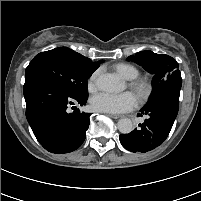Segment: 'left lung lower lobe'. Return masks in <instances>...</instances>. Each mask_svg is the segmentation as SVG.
<instances>
[{
    "instance_id": "0a47b994",
    "label": "left lung lower lobe",
    "mask_w": 201,
    "mask_h": 201,
    "mask_svg": "<svg viewBox=\"0 0 201 201\" xmlns=\"http://www.w3.org/2000/svg\"><path fill=\"white\" fill-rule=\"evenodd\" d=\"M179 109V95L167 93L148 103L138 114L147 115L129 134H121L122 146L131 152L145 153L161 145L167 138Z\"/></svg>"
}]
</instances>
